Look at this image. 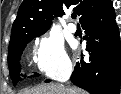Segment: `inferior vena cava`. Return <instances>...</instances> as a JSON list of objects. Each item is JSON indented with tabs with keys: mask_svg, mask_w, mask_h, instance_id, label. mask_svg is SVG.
I'll use <instances>...</instances> for the list:
<instances>
[{
	"mask_svg": "<svg viewBox=\"0 0 121 94\" xmlns=\"http://www.w3.org/2000/svg\"><path fill=\"white\" fill-rule=\"evenodd\" d=\"M72 70H73L72 65H69V66L66 67L64 77H63V79L65 81L69 79V77H70V75L72 73Z\"/></svg>",
	"mask_w": 121,
	"mask_h": 94,
	"instance_id": "602c4592",
	"label": "inferior vena cava"
}]
</instances>
